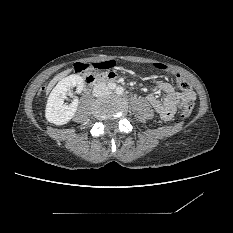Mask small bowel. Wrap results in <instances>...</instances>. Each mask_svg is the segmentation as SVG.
Returning <instances> with one entry per match:
<instances>
[{
	"label": "small bowel",
	"mask_w": 233,
	"mask_h": 233,
	"mask_svg": "<svg viewBox=\"0 0 233 233\" xmlns=\"http://www.w3.org/2000/svg\"><path fill=\"white\" fill-rule=\"evenodd\" d=\"M98 64H109L110 66L107 68H99L97 66ZM92 65L96 70H108L112 80L114 81L116 79V73L114 71L116 63L114 60L94 62ZM182 79L185 80L180 74H176L177 82ZM158 92L163 94L162 99L158 97ZM158 92H150L147 95V101L160 115L162 120L169 121L182 105L180 94L169 84H161L158 88Z\"/></svg>",
	"instance_id": "obj_1"
}]
</instances>
